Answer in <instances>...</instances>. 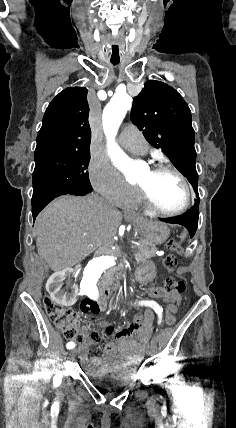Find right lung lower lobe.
<instances>
[{
  "label": "right lung lower lobe",
  "mask_w": 236,
  "mask_h": 428,
  "mask_svg": "<svg viewBox=\"0 0 236 428\" xmlns=\"http://www.w3.org/2000/svg\"><path fill=\"white\" fill-rule=\"evenodd\" d=\"M92 190L93 189H67V190L54 191L45 195H41L36 198H32L33 220L35 221V218L39 214V212L54 198L64 194L83 196L90 193Z\"/></svg>",
  "instance_id": "98d812e1"
}]
</instances>
